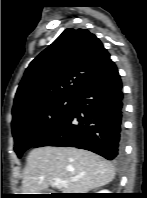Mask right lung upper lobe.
<instances>
[{
    "label": "right lung upper lobe",
    "mask_w": 147,
    "mask_h": 198,
    "mask_svg": "<svg viewBox=\"0 0 147 198\" xmlns=\"http://www.w3.org/2000/svg\"><path fill=\"white\" fill-rule=\"evenodd\" d=\"M111 62L101 41L86 29H66L26 69L13 120L51 101L75 99Z\"/></svg>",
    "instance_id": "cb5924a9"
}]
</instances>
